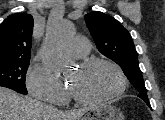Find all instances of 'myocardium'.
<instances>
[{"mask_svg":"<svg viewBox=\"0 0 165 120\" xmlns=\"http://www.w3.org/2000/svg\"><path fill=\"white\" fill-rule=\"evenodd\" d=\"M99 64L108 65L112 69L115 70V72L117 73L118 78H119L118 89L108 96L98 98V99H89V98H85V97L81 96L72 86H69V90H70L72 97L78 103L85 104V105L103 104V103L113 101L116 98H119L125 92L126 87H127L126 76H125L122 68L114 61L107 59V58H101V57L91 58V59H87V60L83 61L80 64L79 68L82 70H86L90 67H93V66L99 65Z\"/></svg>","mask_w":165,"mask_h":120,"instance_id":"f54148a6","label":"myocardium"}]
</instances>
